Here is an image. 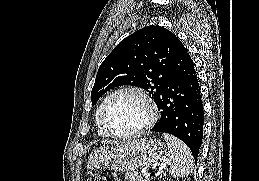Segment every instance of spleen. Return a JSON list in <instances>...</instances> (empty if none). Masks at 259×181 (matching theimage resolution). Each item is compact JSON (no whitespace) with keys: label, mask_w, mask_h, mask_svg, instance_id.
<instances>
[{"label":"spleen","mask_w":259,"mask_h":181,"mask_svg":"<svg viewBox=\"0 0 259 181\" xmlns=\"http://www.w3.org/2000/svg\"><path fill=\"white\" fill-rule=\"evenodd\" d=\"M167 142L168 154L171 160L170 173L174 177L188 176L194 167V158L190 149L173 135L163 133Z\"/></svg>","instance_id":"obj_1"}]
</instances>
